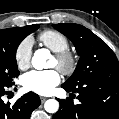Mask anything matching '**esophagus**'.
Returning <instances> with one entry per match:
<instances>
[{"mask_svg": "<svg viewBox=\"0 0 119 119\" xmlns=\"http://www.w3.org/2000/svg\"><path fill=\"white\" fill-rule=\"evenodd\" d=\"M42 102H45L47 100V97H40Z\"/></svg>", "mask_w": 119, "mask_h": 119, "instance_id": "obj_1", "label": "esophagus"}]
</instances>
